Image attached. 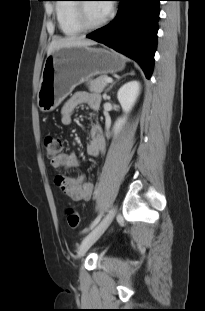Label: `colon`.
Listing matches in <instances>:
<instances>
[{"label":"colon","instance_id":"colon-1","mask_svg":"<svg viewBox=\"0 0 205 311\" xmlns=\"http://www.w3.org/2000/svg\"><path fill=\"white\" fill-rule=\"evenodd\" d=\"M45 158L52 161L61 151L62 141L53 136L44 138ZM67 224L71 229H77L80 225V216L73 206H68L65 210Z\"/></svg>","mask_w":205,"mask_h":311}]
</instances>
